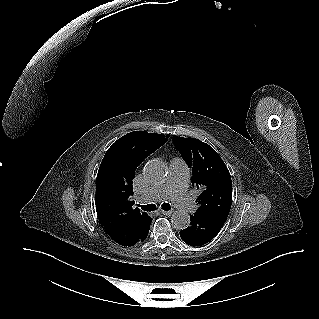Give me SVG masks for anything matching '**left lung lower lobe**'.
Masks as SVG:
<instances>
[{"instance_id":"obj_1","label":"left lung lower lobe","mask_w":319,"mask_h":319,"mask_svg":"<svg viewBox=\"0 0 319 319\" xmlns=\"http://www.w3.org/2000/svg\"><path fill=\"white\" fill-rule=\"evenodd\" d=\"M190 226L180 231L181 239L188 245L200 246L212 240L224 225L227 217L215 214H194Z\"/></svg>"}]
</instances>
